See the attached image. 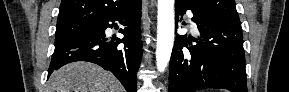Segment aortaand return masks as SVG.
I'll use <instances>...</instances> for the list:
<instances>
[{"instance_id": "aorta-1", "label": "aorta", "mask_w": 289, "mask_h": 92, "mask_svg": "<svg viewBox=\"0 0 289 92\" xmlns=\"http://www.w3.org/2000/svg\"><path fill=\"white\" fill-rule=\"evenodd\" d=\"M174 0H158L156 65L160 72L167 67L174 43Z\"/></svg>"}]
</instances>
